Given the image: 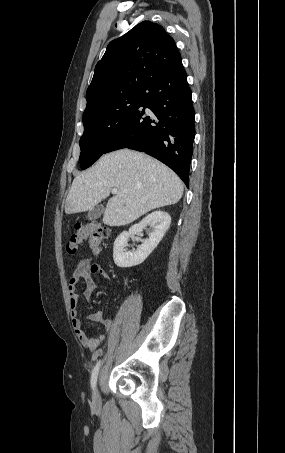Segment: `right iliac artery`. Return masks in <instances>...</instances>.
<instances>
[{
    "label": "right iliac artery",
    "instance_id": "82829eb1",
    "mask_svg": "<svg viewBox=\"0 0 285 453\" xmlns=\"http://www.w3.org/2000/svg\"><path fill=\"white\" fill-rule=\"evenodd\" d=\"M99 368H100V361L94 367V369L92 371V375H91V387L93 390L95 389V386H96Z\"/></svg>",
    "mask_w": 285,
    "mask_h": 453
}]
</instances>
